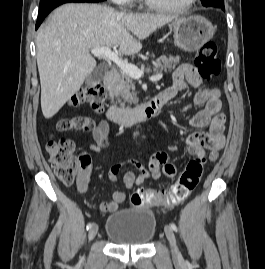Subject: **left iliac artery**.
<instances>
[{
  "label": "left iliac artery",
  "mask_w": 265,
  "mask_h": 269,
  "mask_svg": "<svg viewBox=\"0 0 265 269\" xmlns=\"http://www.w3.org/2000/svg\"><path fill=\"white\" fill-rule=\"evenodd\" d=\"M170 227H171L174 231H177V226H176L174 223H171V224H170Z\"/></svg>",
  "instance_id": "left-iliac-artery-1"
}]
</instances>
